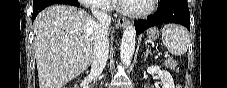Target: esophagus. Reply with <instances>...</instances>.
<instances>
[{
	"label": "esophagus",
	"instance_id": "obj_1",
	"mask_svg": "<svg viewBox=\"0 0 227 88\" xmlns=\"http://www.w3.org/2000/svg\"><path fill=\"white\" fill-rule=\"evenodd\" d=\"M117 22H118V25L122 28H125L128 26V21L125 18H119Z\"/></svg>",
	"mask_w": 227,
	"mask_h": 88
}]
</instances>
